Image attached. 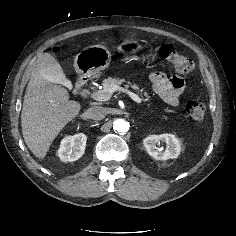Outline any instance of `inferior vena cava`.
<instances>
[{
	"label": "inferior vena cava",
	"instance_id": "obj_1",
	"mask_svg": "<svg viewBox=\"0 0 236 236\" xmlns=\"http://www.w3.org/2000/svg\"><path fill=\"white\" fill-rule=\"evenodd\" d=\"M87 116L93 120H101L106 116V109L100 106H93L87 110Z\"/></svg>",
	"mask_w": 236,
	"mask_h": 236
}]
</instances>
